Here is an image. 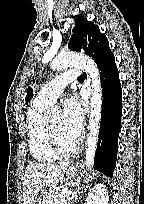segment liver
Returning a JSON list of instances; mask_svg holds the SVG:
<instances>
[{"label": "liver", "mask_w": 144, "mask_h": 204, "mask_svg": "<svg viewBox=\"0 0 144 204\" xmlns=\"http://www.w3.org/2000/svg\"><path fill=\"white\" fill-rule=\"evenodd\" d=\"M69 162L29 163L23 178V204H34L39 192L62 182Z\"/></svg>", "instance_id": "liver-1"}]
</instances>
